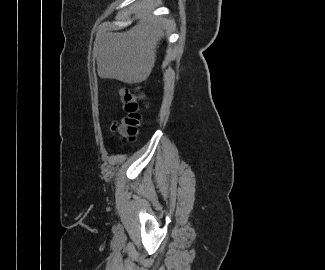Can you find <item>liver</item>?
Masks as SVG:
<instances>
[{
	"instance_id": "obj_1",
	"label": "liver",
	"mask_w": 325,
	"mask_h": 270,
	"mask_svg": "<svg viewBox=\"0 0 325 270\" xmlns=\"http://www.w3.org/2000/svg\"><path fill=\"white\" fill-rule=\"evenodd\" d=\"M164 35L162 25L148 11L141 13L139 22L126 32L98 34L93 48L98 76L128 84L145 81Z\"/></svg>"
}]
</instances>
